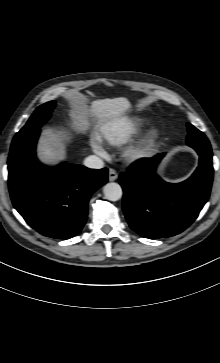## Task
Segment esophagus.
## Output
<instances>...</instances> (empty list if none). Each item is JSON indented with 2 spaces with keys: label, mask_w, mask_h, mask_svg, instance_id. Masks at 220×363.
I'll return each mask as SVG.
<instances>
[{
  "label": "esophagus",
  "mask_w": 220,
  "mask_h": 363,
  "mask_svg": "<svg viewBox=\"0 0 220 363\" xmlns=\"http://www.w3.org/2000/svg\"><path fill=\"white\" fill-rule=\"evenodd\" d=\"M118 178L117 172L113 169H109L108 179L109 181H115Z\"/></svg>",
  "instance_id": "34e87169"
}]
</instances>
